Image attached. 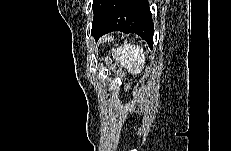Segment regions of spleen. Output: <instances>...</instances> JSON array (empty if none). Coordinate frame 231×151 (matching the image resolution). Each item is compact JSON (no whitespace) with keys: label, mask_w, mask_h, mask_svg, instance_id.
Here are the masks:
<instances>
[{"label":"spleen","mask_w":231,"mask_h":151,"mask_svg":"<svg viewBox=\"0 0 231 151\" xmlns=\"http://www.w3.org/2000/svg\"><path fill=\"white\" fill-rule=\"evenodd\" d=\"M112 56L133 75L139 74L144 69L145 54L139 45L125 44L123 47H117L113 49Z\"/></svg>","instance_id":"1"}]
</instances>
